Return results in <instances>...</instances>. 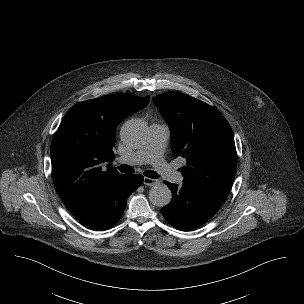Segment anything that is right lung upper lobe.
<instances>
[{"instance_id":"cb5924a9","label":"right lung upper lobe","mask_w":304,"mask_h":304,"mask_svg":"<svg viewBox=\"0 0 304 304\" xmlns=\"http://www.w3.org/2000/svg\"><path fill=\"white\" fill-rule=\"evenodd\" d=\"M150 96L106 95L75 104L66 113L51 143L55 186L67 207L78 214L99 195L106 183L120 175L103 163L115 159L118 124L143 109Z\"/></svg>"}]
</instances>
